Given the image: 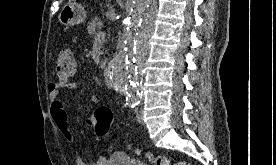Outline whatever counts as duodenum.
Returning a JSON list of instances; mask_svg holds the SVG:
<instances>
[{"instance_id":"duodenum-1","label":"duodenum","mask_w":276,"mask_h":165,"mask_svg":"<svg viewBox=\"0 0 276 165\" xmlns=\"http://www.w3.org/2000/svg\"><path fill=\"white\" fill-rule=\"evenodd\" d=\"M103 75H104V78L107 82L110 81V73H109V69L108 68H105L104 71H103Z\"/></svg>"}]
</instances>
